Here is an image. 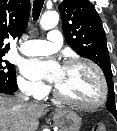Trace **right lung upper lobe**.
I'll return each mask as SVG.
<instances>
[{"label": "right lung upper lobe", "instance_id": "obj_1", "mask_svg": "<svg viewBox=\"0 0 117 131\" xmlns=\"http://www.w3.org/2000/svg\"><path fill=\"white\" fill-rule=\"evenodd\" d=\"M30 15L29 0H0V52H7L5 39L21 37Z\"/></svg>", "mask_w": 117, "mask_h": 131}]
</instances>
